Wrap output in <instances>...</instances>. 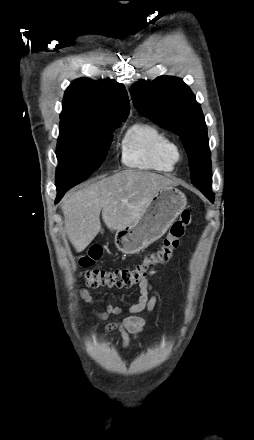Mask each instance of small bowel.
Returning <instances> with one entry per match:
<instances>
[{"label": "small bowel", "instance_id": "obj_1", "mask_svg": "<svg viewBox=\"0 0 254 440\" xmlns=\"http://www.w3.org/2000/svg\"><path fill=\"white\" fill-rule=\"evenodd\" d=\"M154 274V269H151L148 272L149 277L153 276ZM151 290L152 284L149 278H143L140 280L138 300L128 308V311L131 315L106 326V330H118L121 333L124 347H128L130 345L131 340L143 330L147 323L146 317H142L137 314L144 310L150 313L153 311L156 305L157 296L155 294L149 295ZM80 295L85 302L95 304V299L88 290L82 289L80 291ZM120 313L121 309L114 306H108L103 312L96 310L94 311V314L101 319H105L110 314L118 315Z\"/></svg>", "mask_w": 254, "mask_h": 440}]
</instances>
